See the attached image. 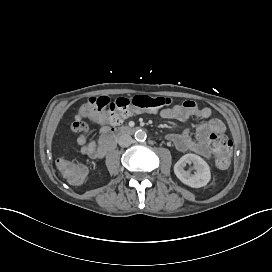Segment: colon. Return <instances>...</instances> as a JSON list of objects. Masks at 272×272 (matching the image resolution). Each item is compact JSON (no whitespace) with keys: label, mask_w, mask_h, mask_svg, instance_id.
<instances>
[{"label":"colon","mask_w":272,"mask_h":272,"mask_svg":"<svg viewBox=\"0 0 272 272\" xmlns=\"http://www.w3.org/2000/svg\"><path fill=\"white\" fill-rule=\"evenodd\" d=\"M111 103L109 97H91L87 103L79 106V113L82 116H89L93 111V118L96 121H106L111 124H121L129 115L136 111H157L168 106L171 102L169 97L148 95H137L129 99L117 95ZM69 130L73 133L84 135L89 130V125L82 118H76L70 122ZM207 144L213 148L214 160L220 169H225L229 165V159L234 149V144L225 132L211 131L207 135ZM79 158V151L76 148H68L65 151V158L59 161V172L67 177L68 182L73 187L82 184L83 178L88 174V169L83 164L72 165V161Z\"/></svg>","instance_id":"5ec220e1"}]
</instances>
